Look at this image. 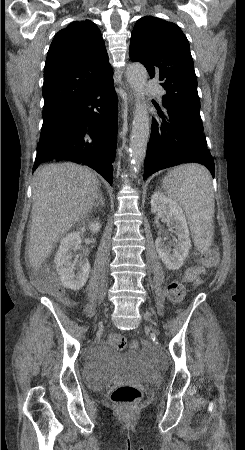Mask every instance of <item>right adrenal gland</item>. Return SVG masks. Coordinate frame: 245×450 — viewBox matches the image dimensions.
Listing matches in <instances>:
<instances>
[{
	"mask_svg": "<svg viewBox=\"0 0 245 450\" xmlns=\"http://www.w3.org/2000/svg\"><path fill=\"white\" fill-rule=\"evenodd\" d=\"M104 205H105V202H104V198H103V194H102V192H100L99 193V196H98V200H97V202L95 203V208H98L99 206H103L104 207Z\"/></svg>",
	"mask_w": 245,
	"mask_h": 450,
	"instance_id": "2a0ac1e0",
	"label": "right adrenal gland"
}]
</instances>
